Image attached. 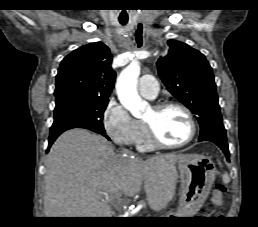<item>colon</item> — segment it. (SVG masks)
<instances>
[{"label": "colon", "instance_id": "obj_1", "mask_svg": "<svg viewBox=\"0 0 258 227\" xmlns=\"http://www.w3.org/2000/svg\"><path fill=\"white\" fill-rule=\"evenodd\" d=\"M226 193V187L223 184H216L213 190V197L217 204L221 203L223 196Z\"/></svg>", "mask_w": 258, "mask_h": 227}]
</instances>
